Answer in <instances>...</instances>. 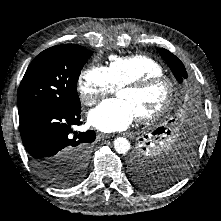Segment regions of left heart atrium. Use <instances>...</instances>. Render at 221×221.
<instances>
[{
	"instance_id": "1",
	"label": "left heart atrium",
	"mask_w": 221,
	"mask_h": 221,
	"mask_svg": "<svg viewBox=\"0 0 221 221\" xmlns=\"http://www.w3.org/2000/svg\"><path fill=\"white\" fill-rule=\"evenodd\" d=\"M131 106L123 99H107L93 108L88 115L89 123L103 132L126 129L135 119Z\"/></svg>"
}]
</instances>
